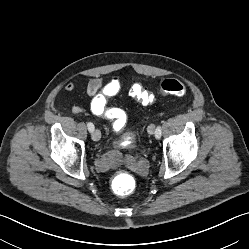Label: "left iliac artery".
Returning <instances> with one entry per match:
<instances>
[{"instance_id":"44dca946","label":"left iliac artery","mask_w":249,"mask_h":249,"mask_svg":"<svg viewBox=\"0 0 249 249\" xmlns=\"http://www.w3.org/2000/svg\"><path fill=\"white\" fill-rule=\"evenodd\" d=\"M161 126H157L156 129H155V137L156 139H160L161 137Z\"/></svg>"}]
</instances>
